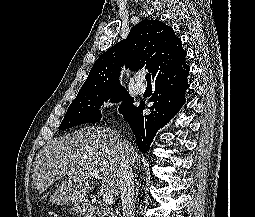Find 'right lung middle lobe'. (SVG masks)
I'll return each mask as SVG.
<instances>
[{"label": "right lung middle lobe", "instance_id": "1", "mask_svg": "<svg viewBox=\"0 0 255 217\" xmlns=\"http://www.w3.org/2000/svg\"><path fill=\"white\" fill-rule=\"evenodd\" d=\"M109 99L112 103L121 101L119 112L123 115L130 113L135 108L133 98L125 88L78 93L70 104L59 129L65 130L79 124L99 122L102 117L100 107Z\"/></svg>", "mask_w": 255, "mask_h": 217}]
</instances>
